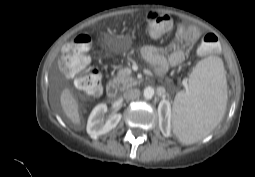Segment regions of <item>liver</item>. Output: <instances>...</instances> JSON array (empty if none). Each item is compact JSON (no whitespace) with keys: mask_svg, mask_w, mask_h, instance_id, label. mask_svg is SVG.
Returning a JSON list of instances; mask_svg holds the SVG:
<instances>
[{"mask_svg":"<svg viewBox=\"0 0 255 177\" xmlns=\"http://www.w3.org/2000/svg\"><path fill=\"white\" fill-rule=\"evenodd\" d=\"M60 102L65 115L71 120L73 124L79 125L81 120L78 112V103L72 96L69 89L65 88L62 91Z\"/></svg>","mask_w":255,"mask_h":177,"instance_id":"6515ba94","label":"liver"}]
</instances>
